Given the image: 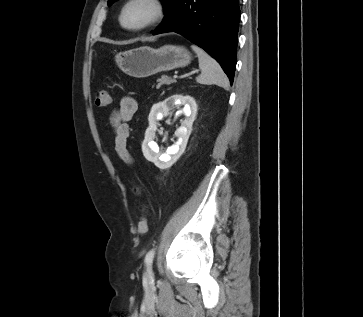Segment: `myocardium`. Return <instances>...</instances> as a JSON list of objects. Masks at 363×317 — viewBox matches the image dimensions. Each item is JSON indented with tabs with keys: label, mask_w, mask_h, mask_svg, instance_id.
Here are the masks:
<instances>
[{
	"label": "myocardium",
	"mask_w": 363,
	"mask_h": 317,
	"mask_svg": "<svg viewBox=\"0 0 363 317\" xmlns=\"http://www.w3.org/2000/svg\"><path fill=\"white\" fill-rule=\"evenodd\" d=\"M134 4H144L149 9L148 17L135 26H127L124 24V16L126 11ZM166 15V7L162 0H126L122 5L118 21L120 26L129 32H139L157 25Z\"/></svg>",
	"instance_id": "myocardium-1"
}]
</instances>
